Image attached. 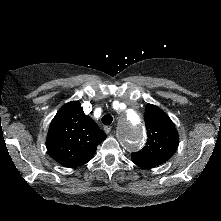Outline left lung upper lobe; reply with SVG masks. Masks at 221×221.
<instances>
[{
	"label": "left lung upper lobe",
	"instance_id": "obj_1",
	"mask_svg": "<svg viewBox=\"0 0 221 221\" xmlns=\"http://www.w3.org/2000/svg\"><path fill=\"white\" fill-rule=\"evenodd\" d=\"M145 124L148 137L146 145L132 153V161L140 167L153 168L174 154L178 147V133L169 116L152 104L146 105Z\"/></svg>",
	"mask_w": 221,
	"mask_h": 221
}]
</instances>
